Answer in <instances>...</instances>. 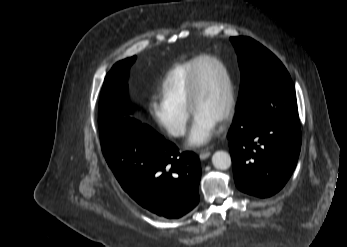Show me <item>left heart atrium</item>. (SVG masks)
I'll use <instances>...</instances> for the list:
<instances>
[{
    "instance_id": "1",
    "label": "left heart atrium",
    "mask_w": 347,
    "mask_h": 247,
    "mask_svg": "<svg viewBox=\"0 0 347 247\" xmlns=\"http://www.w3.org/2000/svg\"><path fill=\"white\" fill-rule=\"evenodd\" d=\"M218 121L202 116L195 115L194 123L191 128L188 144L190 146H200L206 144L214 134Z\"/></svg>"
}]
</instances>
